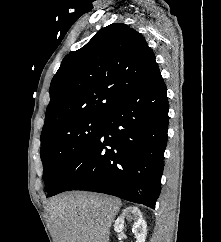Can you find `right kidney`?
Returning <instances> with one entry per match:
<instances>
[{
	"mask_svg": "<svg viewBox=\"0 0 221 242\" xmlns=\"http://www.w3.org/2000/svg\"><path fill=\"white\" fill-rule=\"evenodd\" d=\"M134 220L132 232L135 235L136 242H145L147 235V225L142 218V213L137 207H127L122 211V214L116 219L114 230L122 232L124 230V220Z\"/></svg>",
	"mask_w": 221,
	"mask_h": 242,
	"instance_id": "ca27d5eb",
	"label": "right kidney"
}]
</instances>
